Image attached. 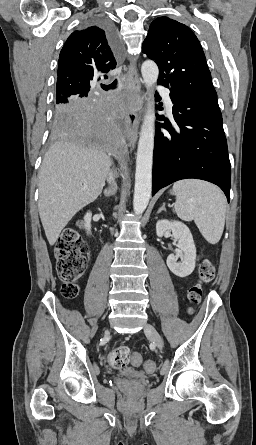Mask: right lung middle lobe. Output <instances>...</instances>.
Returning <instances> with one entry per match:
<instances>
[{
    "instance_id": "dd1d6c3e",
    "label": "right lung middle lobe",
    "mask_w": 256,
    "mask_h": 445,
    "mask_svg": "<svg viewBox=\"0 0 256 445\" xmlns=\"http://www.w3.org/2000/svg\"><path fill=\"white\" fill-rule=\"evenodd\" d=\"M90 95L88 94H82V95H78V96H73L69 99H65V100H59L56 99V103H55V117H57L60 113H62L64 111V109L68 108L70 105L74 104L77 100L79 99H84V98H89ZM54 134L55 135H62L65 136L64 133H62L61 131H59L55 125H54Z\"/></svg>"
}]
</instances>
